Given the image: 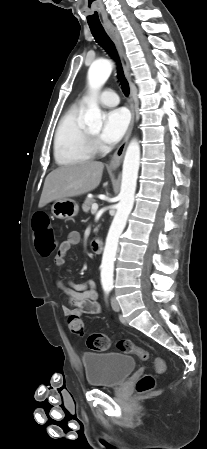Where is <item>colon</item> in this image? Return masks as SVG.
<instances>
[{"instance_id":"colon-1","label":"colon","mask_w":207,"mask_h":449,"mask_svg":"<svg viewBox=\"0 0 207 449\" xmlns=\"http://www.w3.org/2000/svg\"><path fill=\"white\" fill-rule=\"evenodd\" d=\"M33 230L35 247L42 257H48L55 248L54 231L49 223L48 217L44 213H36L33 217ZM68 327L72 334L76 336L85 335V326L82 319L78 316H70L68 319ZM87 345L90 349L95 351H106L110 347L108 337L103 333H92L87 337ZM118 349L127 354H134L141 360L147 361L150 359V353L136 346L130 340H120L117 343ZM155 369L158 373H162L166 369V364L161 358L154 360ZM154 387V378L152 375H144L137 382L136 390L139 393H146Z\"/></svg>"}]
</instances>
